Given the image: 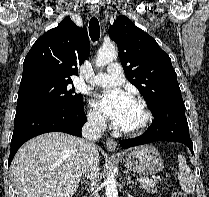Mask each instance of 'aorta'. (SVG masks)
Masks as SVG:
<instances>
[{"instance_id":"aorta-1","label":"aorta","mask_w":209,"mask_h":197,"mask_svg":"<svg viewBox=\"0 0 209 197\" xmlns=\"http://www.w3.org/2000/svg\"><path fill=\"white\" fill-rule=\"evenodd\" d=\"M117 57V50L114 44L103 45L97 54L96 65L102 67L112 62ZM106 197H118L117 182L113 174H109L105 180Z\"/></svg>"}]
</instances>
